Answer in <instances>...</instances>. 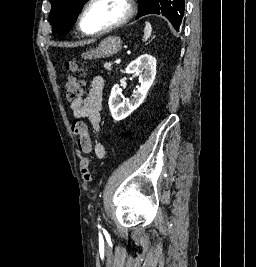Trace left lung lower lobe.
<instances>
[{
    "instance_id": "0a47b994",
    "label": "left lung lower lobe",
    "mask_w": 256,
    "mask_h": 267,
    "mask_svg": "<svg viewBox=\"0 0 256 267\" xmlns=\"http://www.w3.org/2000/svg\"><path fill=\"white\" fill-rule=\"evenodd\" d=\"M185 3L184 0H175V17L171 23L174 28L179 31V26L184 15Z\"/></svg>"
}]
</instances>
